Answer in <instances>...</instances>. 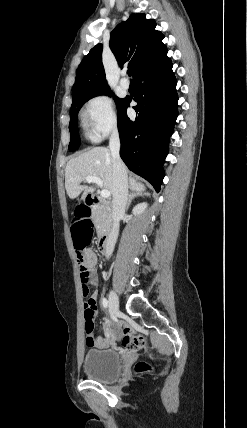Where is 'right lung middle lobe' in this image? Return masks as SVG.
<instances>
[{"instance_id": "right-lung-middle-lobe-1", "label": "right lung middle lobe", "mask_w": 247, "mask_h": 428, "mask_svg": "<svg viewBox=\"0 0 247 428\" xmlns=\"http://www.w3.org/2000/svg\"><path fill=\"white\" fill-rule=\"evenodd\" d=\"M102 94L114 96L113 93L109 89V90H105V91H101L98 93L88 95V96H86V97H84V98H82V99H80L77 102L72 104L71 109H70V123H69V130H70V135H71L70 143H69V150L71 152L78 149V147L80 145V139L78 136V128H77V116H78V112H79L80 108L89 99H91L97 95H102ZM114 100L116 102L117 109H119L120 106L122 105L124 99H120V98L114 96Z\"/></svg>"}]
</instances>
